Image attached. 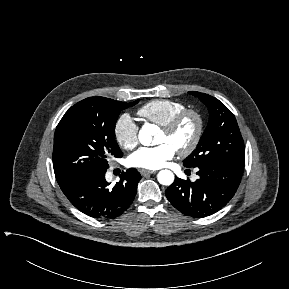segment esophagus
Returning <instances> with one entry per match:
<instances>
[{
    "mask_svg": "<svg viewBox=\"0 0 289 289\" xmlns=\"http://www.w3.org/2000/svg\"><path fill=\"white\" fill-rule=\"evenodd\" d=\"M139 172H140L141 175H144V176H145V175L155 174V173H156V171L147 170V169H140Z\"/></svg>",
    "mask_w": 289,
    "mask_h": 289,
    "instance_id": "esophagus-1",
    "label": "esophagus"
}]
</instances>
